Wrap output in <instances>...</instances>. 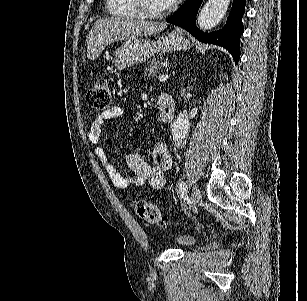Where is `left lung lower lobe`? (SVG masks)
Returning <instances> with one entry per match:
<instances>
[{"instance_id": "obj_1", "label": "left lung lower lobe", "mask_w": 307, "mask_h": 301, "mask_svg": "<svg viewBox=\"0 0 307 301\" xmlns=\"http://www.w3.org/2000/svg\"><path fill=\"white\" fill-rule=\"evenodd\" d=\"M203 0H187L167 22L177 25L204 43H212L226 48L237 64L240 57L239 36L243 33L242 17L246 0H233L225 26L211 33H203L196 27V15Z\"/></svg>"}]
</instances>
